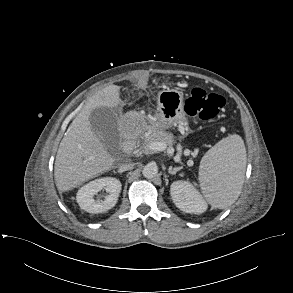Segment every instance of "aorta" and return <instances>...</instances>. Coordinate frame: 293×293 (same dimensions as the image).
Segmentation results:
<instances>
[{
    "mask_svg": "<svg viewBox=\"0 0 293 293\" xmlns=\"http://www.w3.org/2000/svg\"><path fill=\"white\" fill-rule=\"evenodd\" d=\"M142 174L147 179H152L157 176L158 174V167L156 163L150 162L147 165L144 166L142 170Z\"/></svg>",
    "mask_w": 293,
    "mask_h": 293,
    "instance_id": "obj_1",
    "label": "aorta"
}]
</instances>
